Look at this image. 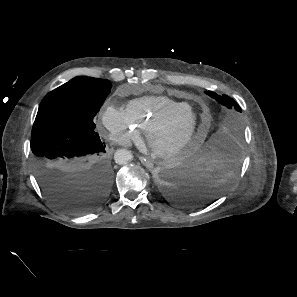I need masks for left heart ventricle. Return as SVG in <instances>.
<instances>
[{"label":"left heart ventricle","mask_w":297,"mask_h":297,"mask_svg":"<svg viewBox=\"0 0 297 297\" xmlns=\"http://www.w3.org/2000/svg\"><path fill=\"white\" fill-rule=\"evenodd\" d=\"M196 121V116L186 115L174 122L161 131L155 138V143L159 147H171L183 140Z\"/></svg>","instance_id":"b2bd125f"}]
</instances>
